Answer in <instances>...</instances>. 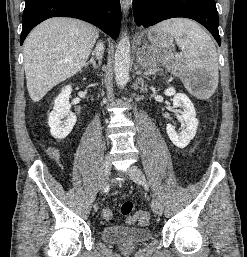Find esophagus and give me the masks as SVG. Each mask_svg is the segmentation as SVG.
Returning a JSON list of instances; mask_svg holds the SVG:
<instances>
[{
  "label": "esophagus",
  "instance_id": "obj_1",
  "mask_svg": "<svg viewBox=\"0 0 247 257\" xmlns=\"http://www.w3.org/2000/svg\"><path fill=\"white\" fill-rule=\"evenodd\" d=\"M120 4H121V8H122L123 14L125 16H128L130 5H131V1L130 0H120Z\"/></svg>",
  "mask_w": 247,
  "mask_h": 257
}]
</instances>
